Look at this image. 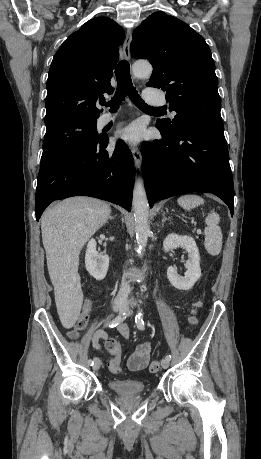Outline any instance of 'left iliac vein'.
<instances>
[{"instance_id":"4c4485c4","label":"left iliac vein","mask_w":261,"mask_h":459,"mask_svg":"<svg viewBox=\"0 0 261 459\" xmlns=\"http://www.w3.org/2000/svg\"><path fill=\"white\" fill-rule=\"evenodd\" d=\"M125 311H126L128 316H132L133 312L131 310L125 309ZM169 364H170V362H169L168 359H166V358L162 359V361H161L162 368L167 369L169 367Z\"/></svg>"}]
</instances>
